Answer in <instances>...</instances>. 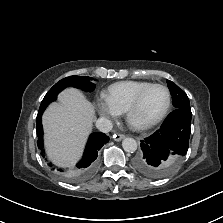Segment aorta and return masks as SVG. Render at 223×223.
Returning a JSON list of instances; mask_svg holds the SVG:
<instances>
[{"mask_svg": "<svg viewBox=\"0 0 223 223\" xmlns=\"http://www.w3.org/2000/svg\"><path fill=\"white\" fill-rule=\"evenodd\" d=\"M122 147L125 152L133 153L137 150V142L135 139L127 137L122 141Z\"/></svg>", "mask_w": 223, "mask_h": 223, "instance_id": "762f6f07", "label": "aorta"}]
</instances>
